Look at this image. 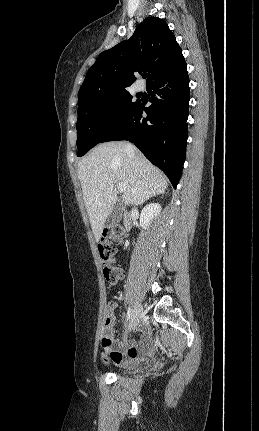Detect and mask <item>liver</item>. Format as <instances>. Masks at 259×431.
Here are the masks:
<instances>
[{
    "mask_svg": "<svg viewBox=\"0 0 259 431\" xmlns=\"http://www.w3.org/2000/svg\"><path fill=\"white\" fill-rule=\"evenodd\" d=\"M126 145L121 141L102 143L78 163L84 203L97 242L117 201L116 183L125 184L122 197L127 205L143 204L168 187L166 176L137 148L128 152Z\"/></svg>",
    "mask_w": 259,
    "mask_h": 431,
    "instance_id": "liver-1",
    "label": "liver"
}]
</instances>
